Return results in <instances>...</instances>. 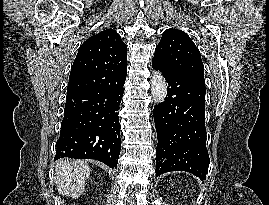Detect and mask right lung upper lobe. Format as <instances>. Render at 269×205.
<instances>
[{
  "mask_svg": "<svg viewBox=\"0 0 269 205\" xmlns=\"http://www.w3.org/2000/svg\"><path fill=\"white\" fill-rule=\"evenodd\" d=\"M127 73V46L113 29L91 36L72 65L67 95L115 86Z\"/></svg>",
  "mask_w": 269,
  "mask_h": 205,
  "instance_id": "cb5924a9",
  "label": "right lung upper lobe"
}]
</instances>
